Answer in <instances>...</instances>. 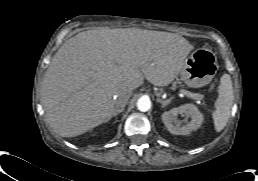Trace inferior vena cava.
I'll use <instances>...</instances> for the list:
<instances>
[{
    "mask_svg": "<svg viewBox=\"0 0 258 181\" xmlns=\"http://www.w3.org/2000/svg\"><path fill=\"white\" fill-rule=\"evenodd\" d=\"M130 93H125L116 100V108H124L130 98Z\"/></svg>",
    "mask_w": 258,
    "mask_h": 181,
    "instance_id": "602c4592",
    "label": "inferior vena cava"
}]
</instances>
